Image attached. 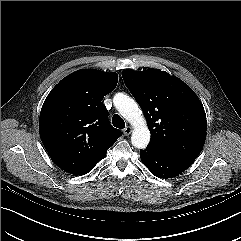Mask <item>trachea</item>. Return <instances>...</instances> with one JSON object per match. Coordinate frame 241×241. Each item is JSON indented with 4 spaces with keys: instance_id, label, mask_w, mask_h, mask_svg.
I'll use <instances>...</instances> for the list:
<instances>
[{
    "instance_id": "obj_1",
    "label": "trachea",
    "mask_w": 241,
    "mask_h": 241,
    "mask_svg": "<svg viewBox=\"0 0 241 241\" xmlns=\"http://www.w3.org/2000/svg\"><path fill=\"white\" fill-rule=\"evenodd\" d=\"M112 123L116 128H120V129L125 128V122L118 114H115L113 116Z\"/></svg>"
}]
</instances>
